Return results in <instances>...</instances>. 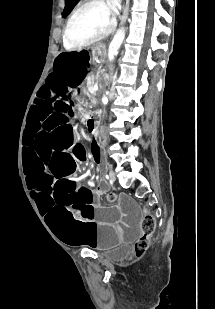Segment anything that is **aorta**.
Here are the masks:
<instances>
[{
	"mask_svg": "<svg viewBox=\"0 0 215 309\" xmlns=\"http://www.w3.org/2000/svg\"><path fill=\"white\" fill-rule=\"evenodd\" d=\"M125 38V28H119L116 34H114L113 40H111L108 48V58L109 60H113L116 52H118V48H120L123 40Z\"/></svg>",
	"mask_w": 215,
	"mask_h": 309,
	"instance_id": "obj_1",
	"label": "aorta"
}]
</instances>
